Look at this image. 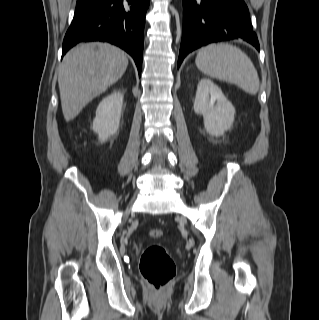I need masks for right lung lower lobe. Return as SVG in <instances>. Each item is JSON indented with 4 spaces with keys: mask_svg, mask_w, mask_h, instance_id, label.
<instances>
[{
    "mask_svg": "<svg viewBox=\"0 0 319 320\" xmlns=\"http://www.w3.org/2000/svg\"><path fill=\"white\" fill-rule=\"evenodd\" d=\"M150 0H77L62 56L82 41H107L127 51L139 75L142 68L145 14Z\"/></svg>",
    "mask_w": 319,
    "mask_h": 320,
    "instance_id": "1",
    "label": "right lung lower lobe"
}]
</instances>
